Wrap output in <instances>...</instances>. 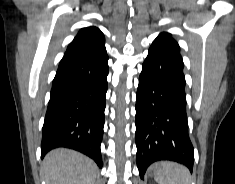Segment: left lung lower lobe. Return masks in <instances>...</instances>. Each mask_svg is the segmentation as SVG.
<instances>
[{
  "label": "left lung lower lobe",
  "mask_w": 235,
  "mask_h": 184,
  "mask_svg": "<svg viewBox=\"0 0 235 184\" xmlns=\"http://www.w3.org/2000/svg\"><path fill=\"white\" fill-rule=\"evenodd\" d=\"M184 63L170 34L149 48L136 99L137 166L143 179L150 164L176 161L192 172L194 149L188 134Z\"/></svg>",
  "instance_id": "left-lung-lower-lobe-1"
}]
</instances>
